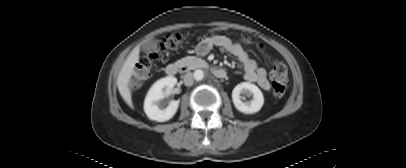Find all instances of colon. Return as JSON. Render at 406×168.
Here are the masks:
<instances>
[{
	"label": "colon",
	"mask_w": 406,
	"mask_h": 168,
	"mask_svg": "<svg viewBox=\"0 0 406 168\" xmlns=\"http://www.w3.org/2000/svg\"><path fill=\"white\" fill-rule=\"evenodd\" d=\"M185 37L181 34H173L164 37L161 41L156 44L153 51L141 57L139 62L136 64L132 82L137 84L141 80L147 78L153 65L167 52L170 50L178 49L184 42ZM244 41H247L244 38ZM272 88L273 93L276 97H282L288 86V72L284 64L276 63L271 70Z\"/></svg>",
	"instance_id": "colon-1"
}]
</instances>
